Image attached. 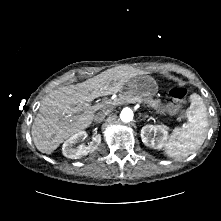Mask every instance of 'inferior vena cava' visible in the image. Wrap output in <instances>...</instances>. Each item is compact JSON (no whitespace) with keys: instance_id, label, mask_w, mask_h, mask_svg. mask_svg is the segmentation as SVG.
Segmentation results:
<instances>
[{"instance_id":"602c4592","label":"inferior vena cava","mask_w":221,"mask_h":221,"mask_svg":"<svg viewBox=\"0 0 221 221\" xmlns=\"http://www.w3.org/2000/svg\"><path fill=\"white\" fill-rule=\"evenodd\" d=\"M109 110H102V111H99L95 117H94V120L98 123L102 122L104 120V118L106 117V115L109 114Z\"/></svg>"}]
</instances>
